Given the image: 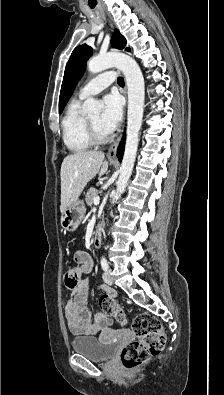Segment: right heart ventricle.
<instances>
[{"instance_id":"1","label":"right heart ventricle","mask_w":224,"mask_h":395,"mask_svg":"<svg viewBox=\"0 0 224 395\" xmlns=\"http://www.w3.org/2000/svg\"><path fill=\"white\" fill-rule=\"evenodd\" d=\"M82 98L73 99L67 107L62 120L63 141L73 152H84L92 146L86 124V116L82 113Z\"/></svg>"}]
</instances>
